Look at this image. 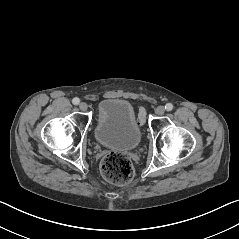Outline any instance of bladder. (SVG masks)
<instances>
[{
  "label": "bladder",
  "mask_w": 239,
  "mask_h": 239,
  "mask_svg": "<svg viewBox=\"0 0 239 239\" xmlns=\"http://www.w3.org/2000/svg\"><path fill=\"white\" fill-rule=\"evenodd\" d=\"M94 136L103 147L122 151L138 148L142 131L132 104L121 98L102 100L98 106Z\"/></svg>",
  "instance_id": "31cf9c89"
}]
</instances>
